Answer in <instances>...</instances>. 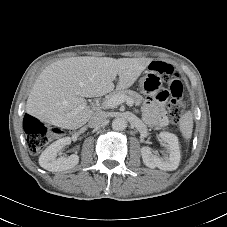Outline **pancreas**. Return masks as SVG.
Masks as SVG:
<instances>
[{
	"mask_svg": "<svg viewBox=\"0 0 227 227\" xmlns=\"http://www.w3.org/2000/svg\"><path fill=\"white\" fill-rule=\"evenodd\" d=\"M114 95H123L126 97V99L130 98L133 100V102L135 103V105H140L143 101V97L138 94L135 91L132 90H120V91H115L113 92L110 97L114 96Z\"/></svg>",
	"mask_w": 227,
	"mask_h": 227,
	"instance_id": "cf45deb5",
	"label": "pancreas"
}]
</instances>
